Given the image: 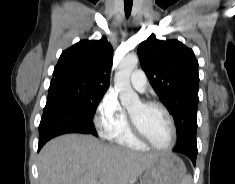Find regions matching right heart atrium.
<instances>
[{"mask_svg": "<svg viewBox=\"0 0 235 184\" xmlns=\"http://www.w3.org/2000/svg\"><path fill=\"white\" fill-rule=\"evenodd\" d=\"M127 122V113L116 95L110 91L106 92L93 114V124L98 135L105 139H115Z\"/></svg>", "mask_w": 235, "mask_h": 184, "instance_id": "d8ad5b80", "label": "right heart atrium"}]
</instances>
